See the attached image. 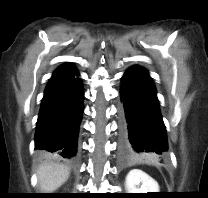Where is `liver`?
<instances>
[{
    "mask_svg": "<svg viewBox=\"0 0 208 198\" xmlns=\"http://www.w3.org/2000/svg\"><path fill=\"white\" fill-rule=\"evenodd\" d=\"M70 175L69 168L59 163H44L37 170L41 191H55L65 183Z\"/></svg>",
    "mask_w": 208,
    "mask_h": 198,
    "instance_id": "liver-1",
    "label": "liver"
}]
</instances>
